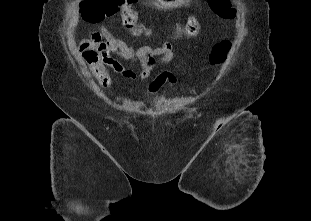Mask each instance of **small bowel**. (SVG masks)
Segmentation results:
<instances>
[{
  "instance_id": "obj_1",
  "label": "small bowel",
  "mask_w": 311,
  "mask_h": 221,
  "mask_svg": "<svg viewBox=\"0 0 311 221\" xmlns=\"http://www.w3.org/2000/svg\"><path fill=\"white\" fill-rule=\"evenodd\" d=\"M144 33L148 36L154 35L151 28H145ZM181 35L179 29L173 38L179 39ZM103 36L107 50L108 46H127V53H110L109 57H103L104 64L125 79L136 80L140 78L148 96H154L162 86L172 85L176 82L175 75L169 70H164L153 77L154 70L157 67L165 66L172 60L174 50L171 42L158 47H133L108 30L103 31ZM131 64H139L137 73L129 67Z\"/></svg>"
}]
</instances>
